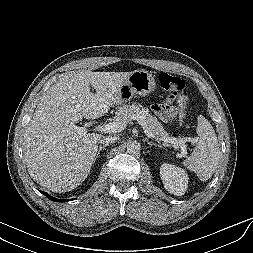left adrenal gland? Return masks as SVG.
<instances>
[{"label":"left adrenal gland","mask_w":253,"mask_h":253,"mask_svg":"<svg viewBox=\"0 0 253 253\" xmlns=\"http://www.w3.org/2000/svg\"><path fill=\"white\" fill-rule=\"evenodd\" d=\"M147 144H148V145H150V146H155V147L162 148V146H161V145L156 144V143H154V142H150L149 140H147Z\"/></svg>","instance_id":"obj_1"}]
</instances>
